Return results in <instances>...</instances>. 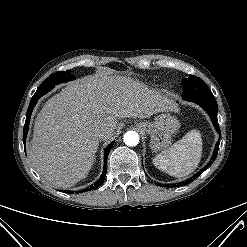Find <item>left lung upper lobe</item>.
Returning a JSON list of instances; mask_svg holds the SVG:
<instances>
[{"label":"left lung upper lobe","instance_id":"1","mask_svg":"<svg viewBox=\"0 0 247 247\" xmlns=\"http://www.w3.org/2000/svg\"><path fill=\"white\" fill-rule=\"evenodd\" d=\"M183 85L182 97L185 100L214 97L205 82L199 77L190 76L188 79L183 80Z\"/></svg>","mask_w":247,"mask_h":247}]
</instances>
